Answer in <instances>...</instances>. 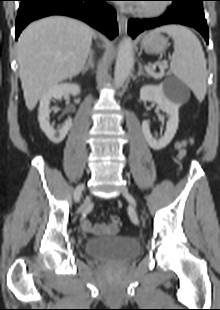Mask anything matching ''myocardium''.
Masks as SVG:
<instances>
[{"instance_id":"f54148a6","label":"myocardium","mask_w":220,"mask_h":310,"mask_svg":"<svg viewBox=\"0 0 220 310\" xmlns=\"http://www.w3.org/2000/svg\"><path fill=\"white\" fill-rule=\"evenodd\" d=\"M165 10V4H153L138 7L136 13L144 16H156L163 13Z\"/></svg>"}]
</instances>
